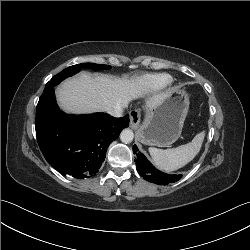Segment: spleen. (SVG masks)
Masks as SVG:
<instances>
[{"label":"spleen","mask_w":250,"mask_h":250,"mask_svg":"<svg viewBox=\"0 0 250 250\" xmlns=\"http://www.w3.org/2000/svg\"><path fill=\"white\" fill-rule=\"evenodd\" d=\"M204 137L205 131H202L185 145L165 150L152 147L149 152L160 170L172 172L185 166L199 153Z\"/></svg>","instance_id":"1"}]
</instances>
